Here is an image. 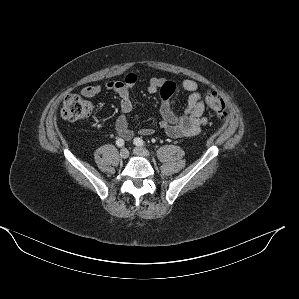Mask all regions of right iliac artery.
Segmentation results:
<instances>
[{"label":"right iliac artery","instance_id":"right-iliac-artery-1","mask_svg":"<svg viewBox=\"0 0 299 299\" xmlns=\"http://www.w3.org/2000/svg\"><path fill=\"white\" fill-rule=\"evenodd\" d=\"M116 145H117L118 147H122V146H124V140L121 139V138H118V139L116 140Z\"/></svg>","mask_w":299,"mask_h":299}]
</instances>
